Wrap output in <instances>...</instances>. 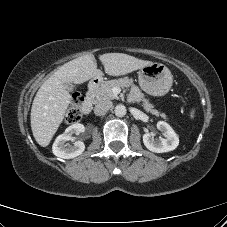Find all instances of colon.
<instances>
[{
  "label": "colon",
  "mask_w": 227,
  "mask_h": 227,
  "mask_svg": "<svg viewBox=\"0 0 227 227\" xmlns=\"http://www.w3.org/2000/svg\"><path fill=\"white\" fill-rule=\"evenodd\" d=\"M83 100L84 98L80 93L73 94L71 105L65 117L67 123H75L80 120L82 114Z\"/></svg>",
  "instance_id": "colon-1"
}]
</instances>
